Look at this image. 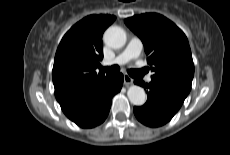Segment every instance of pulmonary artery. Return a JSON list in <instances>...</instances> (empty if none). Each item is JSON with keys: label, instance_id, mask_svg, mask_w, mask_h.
<instances>
[{"label": "pulmonary artery", "instance_id": "1", "mask_svg": "<svg viewBox=\"0 0 230 155\" xmlns=\"http://www.w3.org/2000/svg\"><path fill=\"white\" fill-rule=\"evenodd\" d=\"M142 49H143L142 42L138 38L133 37L130 39L125 49L117 57H115L111 61H105L104 65L109 66L112 64H118V65L125 64L130 60L139 57V55L142 52Z\"/></svg>", "mask_w": 230, "mask_h": 155}]
</instances>
